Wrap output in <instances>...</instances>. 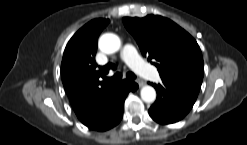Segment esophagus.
<instances>
[{
	"instance_id": "obj_1",
	"label": "esophagus",
	"mask_w": 247,
	"mask_h": 145,
	"mask_svg": "<svg viewBox=\"0 0 247 145\" xmlns=\"http://www.w3.org/2000/svg\"><path fill=\"white\" fill-rule=\"evenodd\" d=\"M137 83H138L139 87H142L145 85V82L143 80H138Z\"/></svg>"
}]
</instances>
